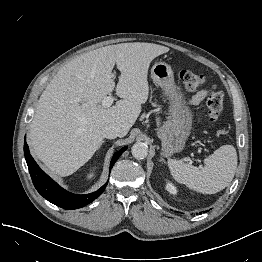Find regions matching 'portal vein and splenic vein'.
Wrapping results in <instances>:
<instances>
[{
	"label": "portal vein and splenic vein",
	"mask_w": 262,
	"mask_h": 262,
	"mask_svg": "<svg viewBox=\"0 0 262 262\" xmlns=\"http://www.w3.org/2000/svg\"><path fill=\"white\" fill-rule=\"evenodd\" d=\"M113 101H114L113 96H107L102 100V105L104 107H110L112 105Z\"/></svg>",
	"instance_id": "18ae733b"
}]
</instances>
